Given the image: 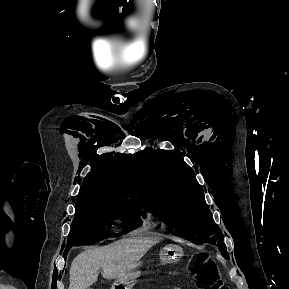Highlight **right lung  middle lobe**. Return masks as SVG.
Masks as SVG:
<instances>
[{"instance_id":"obj_1","label":"right lung middle lobe","mask_w":289,"mask_h":289,"mask_svg":"<svg viewBox=\"0 0 289 289\" xmlns=\"http://www.w3.org/2000/svg\"><path fill=\"white\" fill-rule=\"evenodd\" d=\"M112 219L122 221V233L136 229L140 224L137 202L128 200L77 201L76 213L64 255L74 245L93 244L114 236L109 231Z\"/></svg>"}]
</instances>
